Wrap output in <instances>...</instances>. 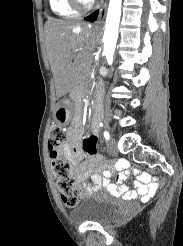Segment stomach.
<instances>
[{"instance_id":"obj_1","label":"stomach","mask_w":183,"mask_h":246,"mask_svg":"<svg viewBox=\"0 0 183 246\" xmlns=\"http://www.w3.org/2000/svg\"><path fill=\"white\" fill-rule=\"evenodd\" d=\"M70 118V101L61 100L56 107L54 119L58 124L65 125Z\"/></svg>"}]
</instances>
